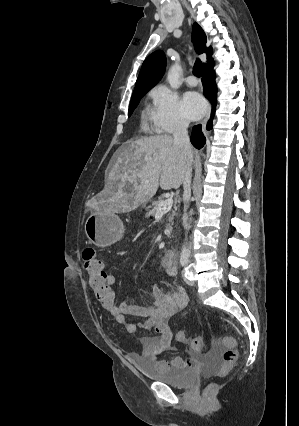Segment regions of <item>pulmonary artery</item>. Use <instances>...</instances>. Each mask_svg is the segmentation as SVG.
<instances>
[{
    "instance_id": "obj_1",
    "label": "pulmonary artery",
    "mask_w": 299,
    "mask_h": 426,
    "mask_svg": "<svg viewBox=\"0 0 299 426\" xmlns=\"http://www.w3.org/2000/svg\"><path fill=\"white\" fill-rule=\"evenodd\" d=\"M186 83L188 86L194 87L198 84V81L195 76L190 75L186 78Z\"/></svg>"
}]
</instances>
